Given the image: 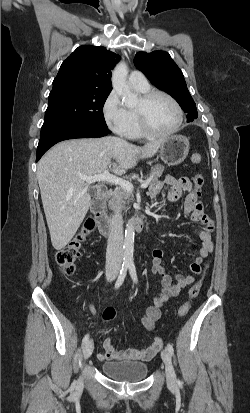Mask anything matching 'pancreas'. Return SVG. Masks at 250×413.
Masks as SVG:
<instances>
[{"label":"pancreas","mask_w":250,"mask_h":413,"mask_svg":"<svg viewBox=\"0 0 250 413\" xmlns=\"http://www.w3.org/2000/svg\"><path fill=\"white\" fill-rule=\"evenodd\" d=\"M164 171V166L161 164H157L152 167L150 175L148 177L149 184H152L158 180V178L162 175ZM134 196L130 191L127 190H118L117 191V196H116V203H122L123 205L129 203L131 200H133ZM124 209L125 206H124Z\"/></svg>","instance_id":"1"}]
</instances>
